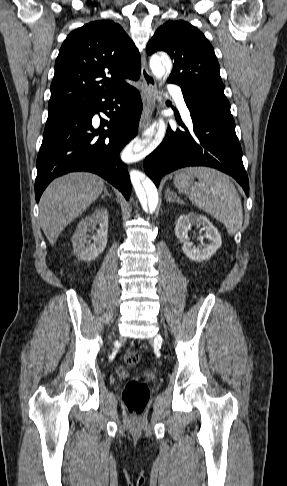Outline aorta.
Returning a JSON list of instances; mask_svg holds the SVG:
<instances>
[{"label":"aorta","mask_w":287,"mask_h":486,"mask_svg":"<svg viewBox=\"0 0 287 486\" xmlns=\"http://www.w3.org/2000/svg\"><path fill=\"white\" fill-rule=\"evenodd\" d=\"M150 68L157 79H161L165 71L170 72L172 69V62L166 55L154 54L150 59ZM166 133V125L162 121L160 123L154 122L145 132L142 140L134 146L135 151H141L145 148L152 149L161 143ZM131 183L135 192L143 206L150 213L154 212L158 205V192L151 180L141 182L139 178L131 173Z\"/></svg>","instance_id":"aorta-1"}]
</instances>
